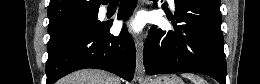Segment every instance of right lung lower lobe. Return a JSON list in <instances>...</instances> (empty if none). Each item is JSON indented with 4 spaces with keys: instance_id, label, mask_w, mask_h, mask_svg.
Returning <instances> with one entry per match:
<instances>
[{
    "instance_id": "98d812e1",
    "label": "right lung lower lobe",
    "mask_w": 260,
    "mask_h": 84,
    "mask_svg": "<svg viewBox=\"0 0 260 84\" xmlns=\"http://www.w3.org/2000/svg\"><path fill=\"white\" fill-rule=\"evenodd\" d=\"M136 4L137 0L121 1L118 18L125 20ZM110 27L104 24L94 33L77 35L49 55L46 84H54L61 77L85 68L103 69L131 81L136 62L133 39L125 27L117 37L109 33Z\"/></svg>"
}]
</instances>
